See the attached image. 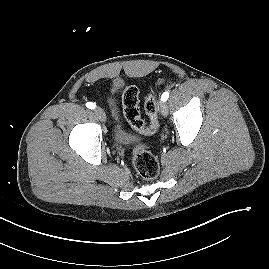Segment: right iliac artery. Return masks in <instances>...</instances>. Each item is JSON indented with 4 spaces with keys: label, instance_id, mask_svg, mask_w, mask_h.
Wrapping results in <instances>:
<instances>
[{
    "label": "right iliac artery",
    "instance_id": "82829eb1",
    "mask_svg": "<svg viewBox=\"0 0 269 269\" xmlns=\"http://www.w3.org/2000/svg\"><path fill=\"white\" fill-rule=\"evenodd\" d=\"M86 107L89 108V109H94L96 107V105L94 103H92V102H87Z\"/></svg>",
    "mask_w": 269,
    "mask_h": 269
}]
</instances>
